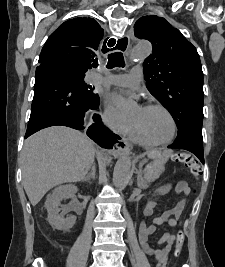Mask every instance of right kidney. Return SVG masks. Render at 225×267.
<instances>
[{"label":"right kidney","instance_id":"right-kidney-1","mask_svg":"<svg viewBox=\"0 0 225 267\" xmlns=\"http://www.w3.org/2000/svg\"><path fill=\"white\" fill-rule=\"evenodd\" d=\"M78 188L74 184L58 186L47 196L45 208L48 211V222L57 230L68 231L76 223V216L64 218L59 214V206L64 198L71 197L77 193Z\"/></svg>","mask_w":225,"mask_h":267}]
</instances>
